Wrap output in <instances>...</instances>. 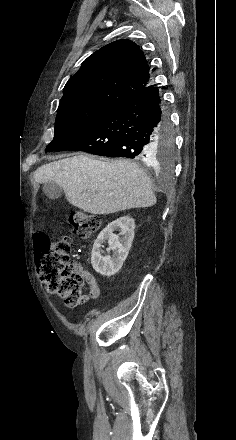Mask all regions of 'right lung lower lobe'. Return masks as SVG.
Instances as JSON below:
<instances>
[{"instance_id": "obj_1", "label": "right lung lower lobe", "mask_w": 236, "mask_h": 440, "mask_svg": "<svg viewBox=\"0 0 236 440\" xmlns=\"http://www.w3.org/2000/svg\"><path fill=\"white\" fill-rule=\"evenodd\" d=\"M167 130L169 121L159 88L152 85L116 106L84 132L47 151L75 150L150 161L157 138Z\"/></svg>"}]
</instances>
